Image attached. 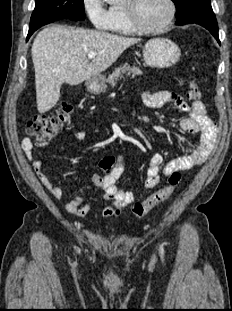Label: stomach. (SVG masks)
Masks as SVG:
<instances>
[{
    "instance_id": "0dacf381",
    "label": "stomach",
    "mask_w": 232,
    "mask_h": 311,
    "mask_svg": "<svg viewBox=\"0 0 232 311\" xmlns=\"http://www.w3.org/2000/svg\"><path fill=\"white\" fill-rule=\"evenodd\" d=\"M181 56L178 46L167 38H154L143 47V57L146 64L155 68H166L175 65ZM105 78L95 76L87 80V88L93 94L102 92Z\"/></svg>"
}]
</instances>
